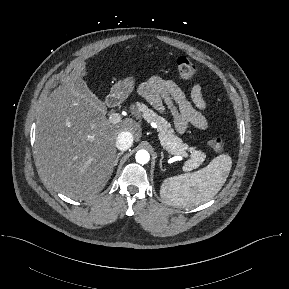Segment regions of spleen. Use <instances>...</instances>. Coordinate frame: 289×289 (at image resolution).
I'll return each instance as SVG.
<instances>
[{
	"label": "spleen",
	"instance_id": "3e777b00",
	"mask_svg": "<svg viewBox=\"0 0 289 289\" xmlns=\"http://www.w3.org/2000/svg\"><path fill=\"white\" fill-rule=\"evenodd\" d=\"M231 166L232 159L228 154L219 155L198 171L166 178L160 196L173 206L192 207L205 203L221 190Z\"/></svg>",
	"mask_w": 289,
	"mask_h": 289
}]
</instances>
